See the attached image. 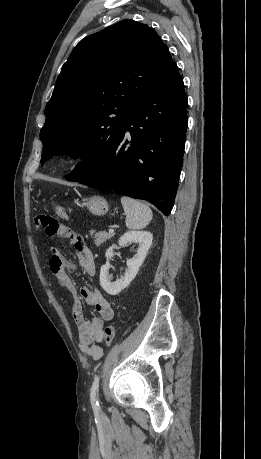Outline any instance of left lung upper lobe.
<instances>
[{
	"label": "left lung upper lobe",
	"instance_id": "left-lung-upper-lobe-1",
	"mask_svg": "<svg viewBox=\"0 0 261 459\" xmlns=\"http://www.w3.org/2000/svg\"><path fill=\"white\" fill-rule=\"evenodd\" d=\"M175 62L154 29L120 21L72 51L46 105L41 164L66 150L81 155L73 171L93 172L107 157L132 111Z\"/></svg>",
	"mask_w": 261,
	"mask_h": 459
}]
</instances>
